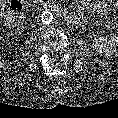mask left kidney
<instances>
[{"label":"left kidney","instance_id":"left-kidney-1","mask_svg":"<svg viewBox=\"0 0 118 118\" xmlns=\"http://www.w3.org/2000/svg\"><path fill=\"white\" fill-rule=\"evenodd\" d=\"M92 48L97 54L105 57L112 56L116 52L114 43L106 37L100 36L93 39Z\"/></svg>","mask_w":118,"mask_h":118}]
</instances>
